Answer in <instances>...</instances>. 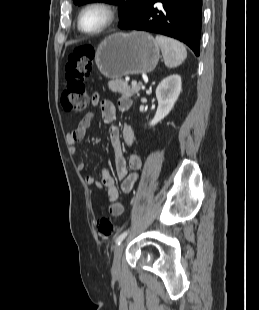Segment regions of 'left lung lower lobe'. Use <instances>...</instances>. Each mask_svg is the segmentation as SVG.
<instances>
[{"mask_svg":"<svg viewBox=\"0 0 259 310\" xmlns=\"http://www.w3.org/2000/svg\"><path fill=\"white\" fill-rule=\"evenodd\" d=\"M157 2L162 3L160 10ZM201 20L202 0H150L141 13L119 27L173 37L199 56Z\"/></svg>","mask_w":259,"mask_h":310,"instance_id":"obj_1","label":"left lung lower lobe"}]
</instances>
